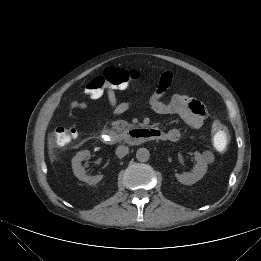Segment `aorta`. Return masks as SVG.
Instances as JSON below:
<instances>
[{
    "instance_id": "762f6f07",
    "label": "aorta",
    "mask_w": 261,
    "mask_h": 261,
    "mask_svg": "<svg viewBox=\"0 0 261 261\" xmlns=\"http://www.w3.org/2000/svg\"><path fill=\"white\" fill-rule=\"evenodd\" d=\"M136 158L139 162H147L150 158V152L146 148H139L136 152Z\"/></svg>"
}]
</instances>
